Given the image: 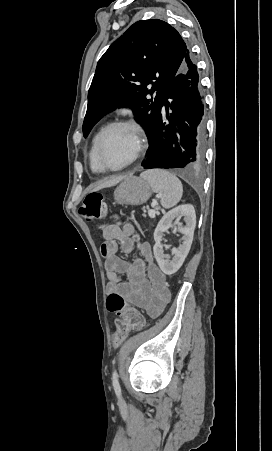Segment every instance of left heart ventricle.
I'll return each instance as SVG.
<instances>
[{
	"label": "left heart ventricle",
	"mask_w": 272,
	"mask_h": 451,
	"mask_svg": "<svg viewBox=\"0 0 272 451\" xmlns=\"http://www.w3.org/2000/svg\"><path fill=\"white\" fill-rule=\"evenodd\" d=\"M131 142L128 133L120 128L111 130L100 151L101 164L110 170L122 167L129 159Z\"/></svg>",
	"instance_id": "obj_1"
}]
</instances>
